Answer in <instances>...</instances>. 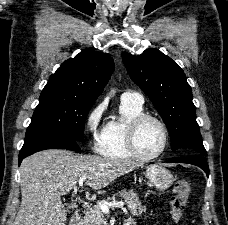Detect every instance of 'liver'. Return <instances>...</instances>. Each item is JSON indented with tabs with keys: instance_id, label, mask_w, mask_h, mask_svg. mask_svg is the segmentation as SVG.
I'll list each match as a JSON object with an SVG mask.
<instances>
[{
	"instance_id": "6515ba94",
	"label": "liver",
	"mask_w": 228,
	"mask_h": 225,
	"mask_svg": "<svg viewBox=\"0 0 228 225\" xmlns=\"http://www.w3.org/2000/svg\"><path fill=\"white\" fill-rule=\"evenodd\" d=\"M140 167L134 161L76 155L65 149H48L21 163L22 201L14 225H65L67 211L61 195H67L80 177L91 189H104L112 181Z\"/></svg>"
}]
</instances>
